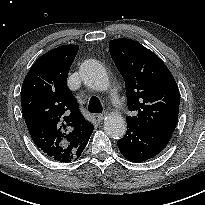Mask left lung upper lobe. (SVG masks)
Segmentation results:
<instances>
[{
	"mask_svg": "<svg viewBox=\"0 0 205 205\" xmlns=\"http://www.w3.org/2000/svg\"><path fill=\"white\" fill-rule=\"evenodd\" d=\"M111 57L126 84L128 108L134 116L127 123L172 134L180 103L177 84L163 61L137 41H110Z\"/></svg>",
	"mask_w": 205,
	"mask_h": 205,
	"instance_id": "left-lung-upper-lobe-1",
	"label": "left lung upper lobe"
}]
</instances>
